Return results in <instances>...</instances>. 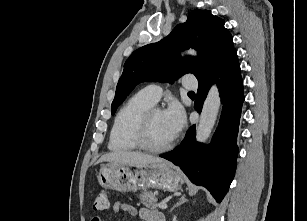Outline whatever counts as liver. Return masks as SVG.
<instances>
[{"label":"liver","mask_w":307,"mask_h":221,"mask_svg":"<svg viewBox=\"0 0 307 221\" xmlns=\"http://www.w3.org/2000/svg\"><path fill=\"white\" fill-rule=\"evenodd\" d=\"M164 161L162 158L144 154L141 152H131V151H116L107 153L97 161L101 162H115L120 164L129 165H143V164H153Z\"/></svg>","instance_id":"6515ba94"}]
</instances>
